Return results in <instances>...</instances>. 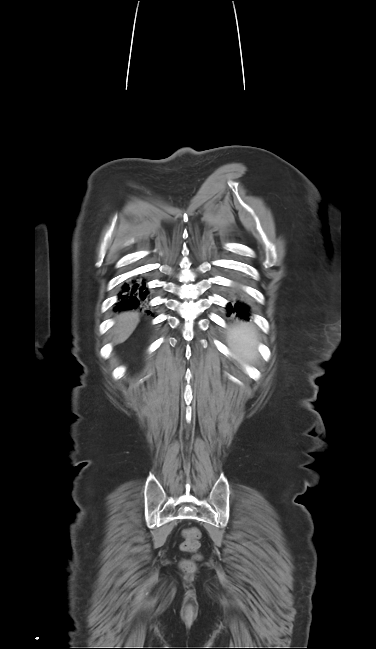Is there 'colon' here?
<instances>
[{"instance_id": "1", "label": "colon", "mask_w": 376, "mask_h": 649, "mask_svg": "<svg viewBox=\"0 0 376 649\" xmlns=\"http://www.w3.org/2000/svg\"><path fill=\"white\" fill-rule=\"evenodd\" d=\"M184 540L181 544V548L187 552H194L198 550L200 546V537L201 533L197 528H188L183 531Z\"/></svg>"}]
</instances>
